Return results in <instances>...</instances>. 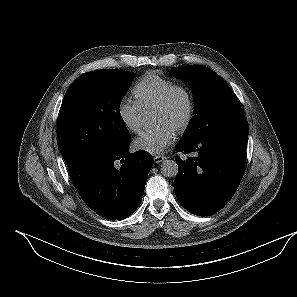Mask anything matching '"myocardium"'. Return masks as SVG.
<instances>
[{
    "label": "myocardium",
    "instance_id": "1",
    "mask_svg": "<svg viewBox=\"0 0 297 297\" xmlns=\"http://www.w3.org/2000/svg\"><path fill=\"white\" fill-rule=\"evenodd\" d=\"M178 95L184 98V112L176 123L175 129L178 132L185 131L193 120L195 113V101L190 89L184 85L175 84L172 86L161 100L155 105L156 109L170 110Z\"/></svg>",
    "mask_w": 297,
    "mask_h": 297
}]
</instances>
